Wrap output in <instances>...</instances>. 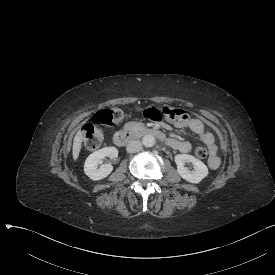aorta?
Listing matches in <instances>:
<instances>
[{
  "mask_svg": "<svg viewBox=\"0 0 275 275\" xmlns=\"http://www.w3.org/2000/svg\"><path fill=\"white\" fill-rule=\"evenodd\" d=\"M142 143L145 147H152L155 143V139L152 135H145L142 139Z\"/></svg>",
  "mask_w": 275,
  "mask_h": 275,
  "instance_id": "obj_1",
  "label": "aorta"
}]
</instances>
